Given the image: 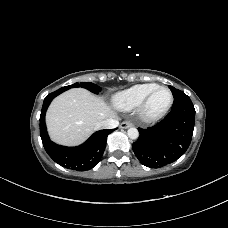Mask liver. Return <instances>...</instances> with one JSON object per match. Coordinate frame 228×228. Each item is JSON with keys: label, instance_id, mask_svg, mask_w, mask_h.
Masks as SVG:
<instances>
[{"label": "liver", "instance_id": "6515ba94", "mask_svg": "<svg viewBox=\"0 0 228 228\" xmlns=\"http://www.w3.org/2000/svg\"><path fill=\"white\" fill-rule=\"evenodd\" d=\"M115 117L116 112L102 98L86 89L75 88L52 101L46 114V123L54 142L76 146L97 129L99 122Z\"/></svg>", "mask_w": 228, "mask_h": 228}]
</instances>
